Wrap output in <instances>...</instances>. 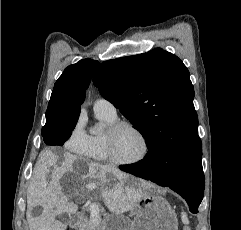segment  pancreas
<instances>
[{
  "instance_id": "obj_1",
  "label": "pancreas",
  "mask_w": 241,
  "mask_h": 230,
  "mask_svg": "<svg viewBox=\"0 0 241 230\" xmlns=\"http://www.w3.org/2000/svg\"><path fill=\"white\" fill-rule=\"evenodd\" d=\"M102 220L99 218L96 222L90 216V219H85L80 225L79 230H101Z\"/></svg>"
}]
</instances>
